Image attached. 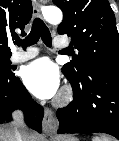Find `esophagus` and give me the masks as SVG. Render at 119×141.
Listing matches in <instances>:
<instances>
[{
  "mask_svg": "<svg viewBox=\"0 0 119 141\" xmlns=\"http://www.w3.org/2000/svg\"><path fill=\"white\" fill-rule=\"evenodd\" d=\"M39 3L45 4V1L41 0ZM33 15L38 18L42 17L41 10L38 5L33 6ZM42 127L44 132L47 134H53L57 130V127H58L57 121L54 117L53 111L49 108H45L44 118L42 121Z\"/></svg>",
  "mask_w": 119,
  "mask_h": 141,
  "instance_id": "34e87169",
  "label": "esophagus"
}]
</instances>
